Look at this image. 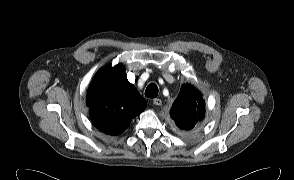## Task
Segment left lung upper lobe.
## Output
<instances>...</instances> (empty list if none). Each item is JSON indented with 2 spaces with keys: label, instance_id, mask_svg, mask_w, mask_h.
Listing matches in <instances>:
<instances>
[{
  "label": "left lung upper lobe",
  "instance_id": "5c2ea615",
  "mask_svg": "<svg viewBox=\"0 0 294 180\" xmlns=\"http://www.w3.org/2000/svg\"><path fill=\"white\" fill-rule=\"evenodd\" d=\"M205 115L201 93L192 85L184 84L170 110L175 124L184 131L195 129Z\"/></svg>",
  "mask_w": 294,
  "mask_h": 180
}]
</instances>
